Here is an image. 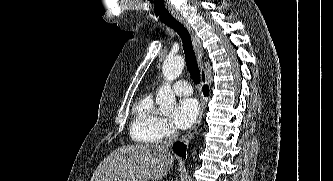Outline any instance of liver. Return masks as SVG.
<instances>
[{
	"mask_svg": "<svg viewBox=\"0 0 333 181\" xmlns=\"http://www.w3.org/2000/svg\"><path fill=\"white\" fill-rule=\"evenodd\" d=\"M173 163V156L162 145L122 146L104 158L91 181H158Z\"/></svg>",
	"mask_w": 333,
	"mask_h": 181,
	"instance_id": "6515ba94",
	"label": "liver"
}]
</instances>
